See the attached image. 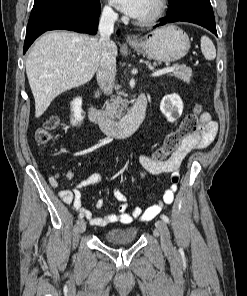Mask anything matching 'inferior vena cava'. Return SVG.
<instances>
[{
	"mask_svg": "<svg viewBox=\"0 0 247 296\" xmlns=\"http://www.w3.org/2000/svg\"><path fill=\"white\" fill-rule=\"evenodd\" d=\"M117 14L110 8H104L99 20L100 60L97 70V81L106 95L113 91L116 74V59L112 52L113 42L110 39L114 31Z\"/></svg>",
	"mask_w": 247,
	"mask_h": 296,
	"instance_id": "602c4592",
	"label": "inferior vena cava"
}]
</instances>
